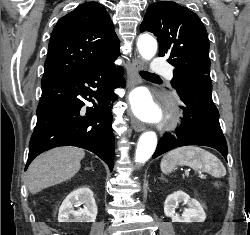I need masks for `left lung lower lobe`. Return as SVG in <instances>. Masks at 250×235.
Wrapping results in <instances>:
<instances>
[{"instance_id": "left-lung-lower-lobe-1", "label": "left lung lower lobe", "mask_w": 250, "mask_h": 235, "mask_svg": "<svg viewBox=\"0 0 250 235\" xmlns=\"http://www.w3.org/2000/svg\"><path fill=\"white\" fill-rule=\"evenodd\" d=\"M184 103L182 125L176 135L159 140L153 158L180 146L201 145L218 150L227 160V144L219 124V112L212 100V82L207 75L189 76L175 88Z\"/></svg>"}]
</instances>
